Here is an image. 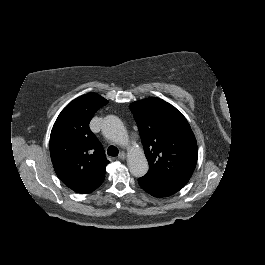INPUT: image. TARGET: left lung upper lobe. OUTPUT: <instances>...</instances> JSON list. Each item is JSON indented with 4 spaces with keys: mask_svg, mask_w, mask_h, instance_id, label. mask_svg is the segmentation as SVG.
<instances>
[{
    "mask_svg": "<svg viewBox=\"0 0 265 265\" xmlns=\"http://www.w3.org/2000/svg\"><path fill=\"white\" fill-rule=\"evenodd\" d=\"M129 107L149 163L145 177L166 184L186 185L198 156L197 142L186 118L159 98L135 101Z\"/></svg>",
    "mask_w": 265,
    "mask_h": 265,
    "instance_id": "5c2ea615",
    "label": "left lung upper lobe"
}]
</instances>
